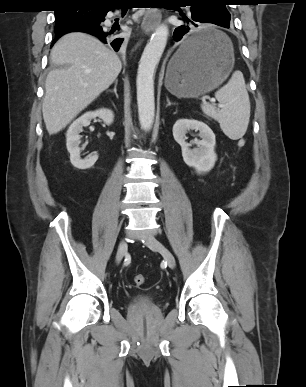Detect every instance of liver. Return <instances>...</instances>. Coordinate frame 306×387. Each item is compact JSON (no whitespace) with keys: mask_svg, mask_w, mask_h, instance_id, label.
I'll use <instances>...</instances> for the list:
<instances>
[{"mask_svg":"<svg viewBox=\"0 0 306 387\" xmlns=\"http://www.w3.org/2000/svg\"><path fill=\"white\" fill-rule=\"evenodd\" d=\"M50 57L58 68L47 75L42 113L52 135L65 128L115 81L122 64L101 41L82 32L61 37Z\"/></svg>","mask_w":306,"mask_h":387,"instance_id":"liver-1","label":"liver"}]
</instances>
